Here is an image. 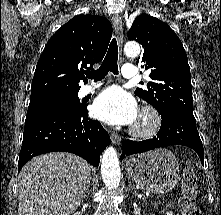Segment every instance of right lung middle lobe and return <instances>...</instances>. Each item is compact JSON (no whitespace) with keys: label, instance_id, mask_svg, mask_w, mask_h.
<instances>
[{"label":"right lung middle lobe","instance_id":"right-lung-middle-lobe-1","mask_svg":"<svg viewBox=\"0 0 221 215\" xmlns=\"http://www.w3.org/2000/svg\"><path fill=\"white\" fill-rule=\"evenodd\" d=\"M82 107L83 105L78 99V93L57 94L30 101L27 115L50 110L72 113L81 110Z\"/></svg>","mask_w":221,"mask_h":215}]
</instances>
